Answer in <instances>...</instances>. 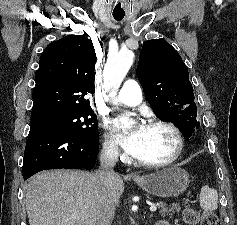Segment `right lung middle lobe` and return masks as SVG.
Masks as SVG:
<instances>
[{
    "mask_svg": "<svg viewBox=\"0 0 237 225\" xmlns=\"http://www.w3.org/2000/svg\"><path fill=\"white\" fill-rule=\"evenodd\" d=\"M31 127L62 131L85 139L99 136L96 119L88 109L31 122Z\"/></svg>",
    "mask_w": 237,
    "mask_h": 225,
    "instance_id": "1",
    "label": "right lung middle lobe"
}]
</instances>
